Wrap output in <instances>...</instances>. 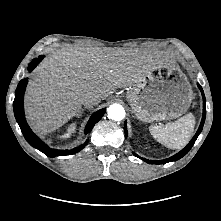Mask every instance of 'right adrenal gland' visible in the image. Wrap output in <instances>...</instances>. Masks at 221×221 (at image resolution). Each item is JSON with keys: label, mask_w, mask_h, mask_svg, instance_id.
I'll list each match as a JSON object with an SVG mask.
<instances>
[{"label": "right adrenal gland", "mask_w": 221, "mask_h": 221, "mask_svg": "<svg viewBox=\"0 0 221 221\" xmlns=\"http://www.w3.org/2000/svg\"><path fill=\"white\" fill-rule=\"evenodd\" d=\"M84 110H85V109L80 110L79 113L77 114V117L82 116Z\"/></svg>", "instance_id": "right-adrenal-gland-1"}]
</instances>
